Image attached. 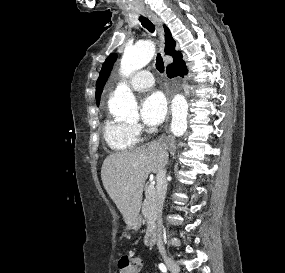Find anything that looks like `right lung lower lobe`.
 I'll list each match as a JSON object with an SVG mask.
<instances>
[{
  "instance_id": "obj_1",
  "label": "right lung lower lobe",
  "mask_w": 285,
  "mask_h": 273,
  "mask_svg": "<svg viewBox=\"0 0 285 273\" xmlns=\"http://www.w3.org/2000/svg\"><path fill=\"white\" fill-rule=\"evenodd\" d=\"M188 72L185 62L181 59L179 61L174 62L173 64H170L167 67V76L169 78L181 76L183 77Z\"/></svg>"
}]
</instances>
